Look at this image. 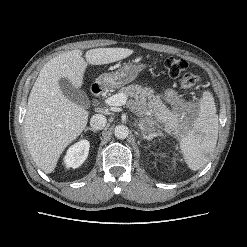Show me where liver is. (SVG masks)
Listing matches in <instances>:
<instances>
[{
  "mask_svg": "<svg viewBox=\"0 0 247 247\" xmlns=\"http://www.w3.org/2000/svg\"><path fill=\"white\" fill-rule=\"evenodd\" d=\"M133 54L127 48H96L85 54L72 50L49 60L41 69L28 98L24 134L36 165L52 173L64 149L85 129L89 112L66 98L59 85L67 78L80 88L88 64L113 63Z\"/></svg>",
  "mask_w": 247,
  "mask_h": 247,
  "instance_id": "obj_1",
  "label": "liver"
}]
</instances>
